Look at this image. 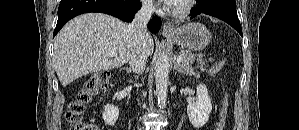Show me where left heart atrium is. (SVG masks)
Segmentation results:
<instances>
[{
	"label": "left heart atrium",
	"instance_id": "obj_1",
	"mask_svg": "<svg viewBox=\"0 0 299 130\" xmlns=\"http://www.w3.org/2000/svg\"><path fill=\"white\" fill-rule=\"evenodd\" d=\"M179 2H180L179 0H165V3H167L170 6H173Z\"/></svg>",
	"mask_w": 299,
	"mask_h": 130
}]
</instances>
